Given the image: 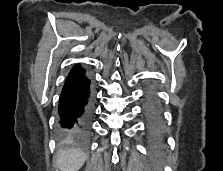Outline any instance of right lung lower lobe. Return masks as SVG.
<instances>
[{
    "mask_svg": "<svg viewBox=\"0 0 223 171\" xmlns=\"http://www.w3.org/2000/svg\"><path fill=\"white\" fill-rule=\"evenodd\" d=\"M77 65L69 73L59 100V133L68 138L84 139L91 114L90 80Z\"/></svg>",
    "mask_w": 223,
    "mask_h": 171,
    "instance_id": "1",
    "label": "right lung lower lobe"
}]
</instances>
